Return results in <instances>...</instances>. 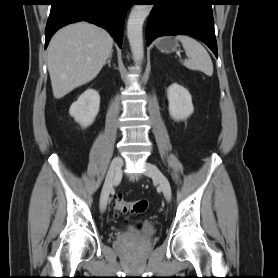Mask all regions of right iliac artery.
Here are the masks:
<instances>
[{
    "label": "right iliac artery",
    "instance_id": "obj_1",
    "mask_svg": "<svg viewBox=\"0 0 278 278\" xmlns=\"http://www.w3.org/2000/svg\"><path fill=\"white\" fill-rule=\"evenodd\" d=\"M121 176V171H118L114 179V184L119 183V181L121 180Z\"/></svg>",
    "mask_w": 278,
    "mask_h": 278
}]
</instances>
